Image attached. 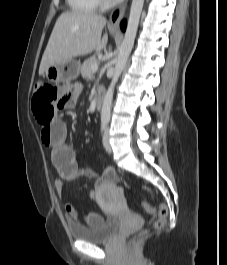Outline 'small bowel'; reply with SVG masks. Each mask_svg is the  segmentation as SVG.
<instances>
[{
	"instance_id": "small-bowel-1",
	"label": "small bowel",
	"mask_w": 227,
	"mask_h": 265,
	"mask_svg": "<svg viewBox=\"0 0 227 265\" xmlns=\"http://www.w3.org/2000/svg\"><path fill=\"white\" fill-rule=\"evenodd\" d=\"M62 88V95L65 99H59L57 107L60 112H67V108H73L82 92L81 84H74L73 81H65ZM67 127L60 119H53L51 123L42 128V143L51 148V160L57 169L60 178L55 182V188L59 197L65 202V210L71 221H77L79 214L77 209L66 201L64 183L86 178L94 180V186L89 193L90 199H96L102 186L114 184L117 174L112 168H106L101 175L91 168L78 167L73 149L66 143ZM88 225H96L102 222L103 218L97 213H88L85 217Z\"/></svg>"
}]
</instances>
